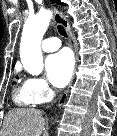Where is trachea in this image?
<instances>
[{
	"instance_id": "trachea-1",
	"label": "trachea",
	"mask_w": 117,
	"mask_h": 136,
	"mask_svg": "<svg viewBox=\"0 0 117 136\" xmlns=\"http://www.w3.org/2000/svg\"><path fill=\"white\" fill-rule=\"evenodd\" d=\"M57 29H58V32H59L63 37H67V33H66V31H65V29H64L63 26L58 25V26H57Z\"/></svg>"
}]
</instances>
